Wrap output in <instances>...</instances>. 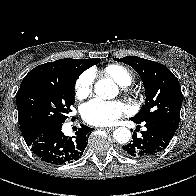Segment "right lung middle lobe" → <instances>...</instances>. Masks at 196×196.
<instances>
[{
  "mask_svg": "<svg viewBox=\"0 0 196 196\" xmlns=\"http://www.w3.org/2000/svg\"><path fill=\"white\" fill-rule=\"evenodd\" d=\"M79 74L71 69L45 70L25 76L16 94L22 134L54 123H64L74 104Z\"/></svg>",
  "mask_w": 196,
  "mask_h": 196,
  "instance_id": "obj_1",
  "label": "right lung middle lobe"
}]
</instances>
